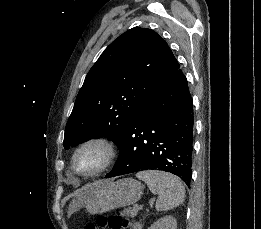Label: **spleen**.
Instances as JSON below:
<instances>
[{
  "label": "spleen",
  "instance_id": "3e777b00",
  "mask_svg": "<svg viewBox=\"0 0 261 229\" xmlns=\"http://www.w3.org/2000/svg\"><path fill=\"white\" fill-rule=\"evenodd\" d=\"M137 179L144 181L153 195H159L156 201V211H170L182 205L185 199V189L181 179L165 171H140Z\"/></svg>",
  "mask_w": 261,
  "mask_h": 229
}]
</instances>
